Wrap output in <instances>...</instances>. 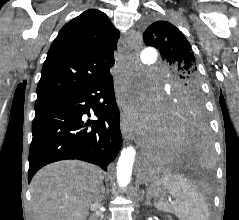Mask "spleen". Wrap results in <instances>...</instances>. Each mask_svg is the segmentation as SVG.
<instances>
[{"mask_svg": "<svg viewBox=\"0 0 239 220\" xmlns=\"http://www.w3.org/2000/svg\"><path fill=\"white\" fill-rule=\"evenodd\" d=\"M165 185L176 199L173 206L156 203L159 210L173 211L179 220H209V209L204 197L181 175L168 173L154 181Z\"/></svg>", "mask_w": 239, "mask_h": 220, "instance_id": "obj_1", "label": "spleen"}]
</instances>
